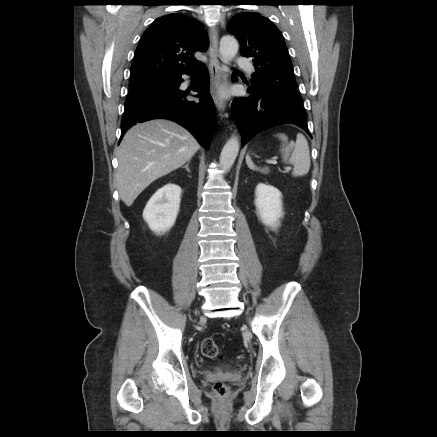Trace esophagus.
Masks as SVG:
<instances>
[{
	"mask_svg": "<svg viewBox=\"0 0 437 437\" xmlns=\"http://www.w3.org/2000/svg\"><path fill=\"white\" fill-rule=\"evenodd\" d=\"M210 38V54H209V73H210V90L213 101L220 115L224 116L226 103L220 96V71L221 63L219 59V46H218V31L217 28L211 26L209 28Z\"/></svg>",
	"mask_w": 437,
	"mask_h": 437,
	"instance_id": "34e87169",
	"label": "esophagus"
}]
</instances>
